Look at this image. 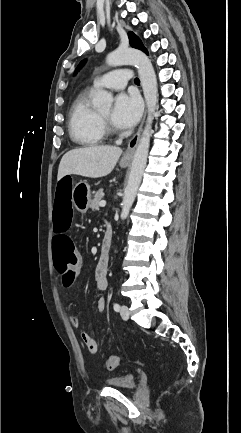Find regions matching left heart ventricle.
Returning <instances> with one entry per match:
<instances>
[{
  "label": "left heart ventricle",
  "instance_id": "1",
  "mask_svg": "<svg viewBox=\"0 0 241 433\" xmlns=\"http://www.w3.org/2000/svg\"><path fill=\"white\" fill-rule=\"evenodd\" d=\"M100 114H101L103 117H105L106 119L109 120V118H110V114H111V111L108 109V110H106V111L100 112Z\"/></svg>",
  "mask_w": 241,
  "mask_h": 433
}]
</instances>
